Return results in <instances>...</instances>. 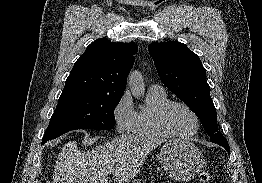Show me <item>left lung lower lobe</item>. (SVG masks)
Segmentation results:
<instances>
[{"mask_svg": "<svg viewBox=\"0 0 262 183\" xmlns=\"http://www.w3.org/2000/svg\"><path fill=\"white\" fill-rule=\"evenodd\" d=\"M217 144L223 146L227 150V152L230 153V148H229L228 142H222V143H217Z\"/></svg>", "mask_w": 262, "mask_h": 183, "instance_id": "obj_1", "label": "left lung lower lobe"}]
</instances>
